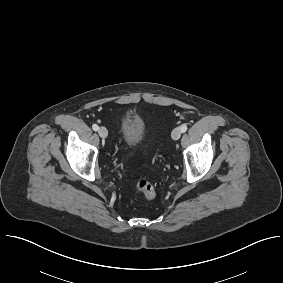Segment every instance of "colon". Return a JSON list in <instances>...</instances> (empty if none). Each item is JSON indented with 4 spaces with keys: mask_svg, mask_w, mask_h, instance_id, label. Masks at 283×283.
<instances>
[{
    "mask_svg": "<svg viewBox=\"0 0 283 283\" xmlns=\"http://www.w3.org/2000/svg\"><path fill=\"white\" fill-rule=\"evenodd\" d=\"M136 188L148 200H152L156 196L155 187L146 178H141L138 180Z\"/></svg>",
    "mask_w": 283,
    "mask_h": 283,
    "instance_id": "1",
    "label": "colon"
}]
</instances>
